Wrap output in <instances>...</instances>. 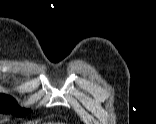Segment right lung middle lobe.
Returning <instances> with one entry per match:
<instances>
[{
    "label": "right lung middle lobe",
    "instance_id": "dd1d6c3e",
    "mask_svg": "<svg viewBox=\"0 0 156 124\" xmlns=\"http://www.w3.org/2000/svg\"><path fill=\"white\" fill-rule=\"evenodd\" d=\"M8 111H11L15 116L18 117H23L29 113L28 110L18 107L16 101L12 97L5 94H0V112L6 113Z\"/></svg>",
    "mask_w": 156,
    "mask_h": 124
}]
</instances>
